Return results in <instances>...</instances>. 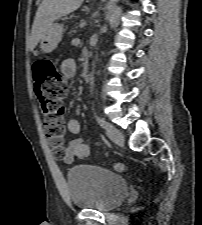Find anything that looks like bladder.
Returning a JSON list of instances; mask_svg holds the SVG:
<instances>
[{
	"mask_svg": "<svg viewBox=\"0 0 202 225\" xmlns=\"http://www.w3.org/2000/svg\"><path fill=\"white\" fill-rule=\"evenodd\" d=\"M69 199L75 208L107 213L127 197L129 184L125 178L106 168L79 165L66 173Z\"/></svg>",
	"mask_w": 202,
	"mask_h": 225,
	"instance_id": "bladder-1",
	"label": "bladder"
}]
</instances>
